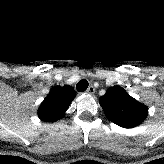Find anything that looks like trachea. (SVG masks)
<instances>
[{
    "mask_svg": "<svg viewBox=\"0 0 164 164\" xmlns=\"http://www.w3.org/2000/svg\"><path fill=\"white\" fill-rule=\"evenodd\" d=\"M88 85H89L88 81L82 79L77 83L76 89L77 91L84 92L88 88Z\"/></svg>",
    "mask_w": 164,
    "mask_h": 164,
    "instance_id": "obj_1",
    "label": "trachea"
}]
</instances>
